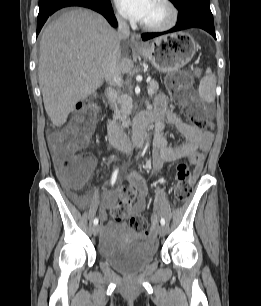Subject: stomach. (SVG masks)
Instances as JSON below:
<instances>
[{
	"label": "stomach",
	"mask_w": 261,
	"mask_h": 306,
	"mask_svg": "<svg viewBox=\"0 0 261 306\" xmlns=\"http://www.w3.org/2000/svg\"><path fill=\"white\" fill-rule=\"evenodd\" d=\"M197 50V44L186 32H177L160 36L142 49L138 56L148 60L161 73H170L184 67L191 61Z\"/></svg>",
	"instance_id": "0dacf381"
}]
</instances>
